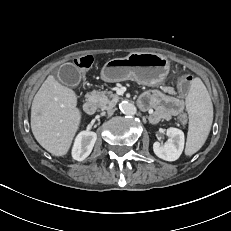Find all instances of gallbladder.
Listing matches in <instances>:
<instances>
[{
  "label": "gallbladder",
  "instance_id": "bac80fb5",
  "mask_svg": "<svg viewBox=\"0 0 231 231\" xmlns=\"http://www.w3.org/2000/svg\"><path fill=\"white\" fill-rule=\"evenodd\" d=\"M80 72L73 64H64L57 70V77L59 81L70 87L77 86L81 79L79 78Z\"/></svg>",
  "mask_w": 231,
  "mask_h": 231
}]
</instances>
